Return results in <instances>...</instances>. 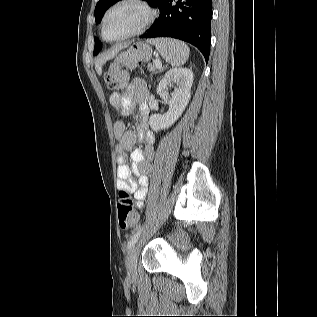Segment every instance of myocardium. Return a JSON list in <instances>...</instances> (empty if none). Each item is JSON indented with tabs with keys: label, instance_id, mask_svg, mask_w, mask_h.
Masks as SVG:
<instances>
[{
	"label": "myocardium",
	"instance_id": "myocardium-1",
	"mask_svg": "<svg viewBox=\"0 0 317 317\" xmlns=\"http://www.w3.org/2000/svg\"><path fill=\"white\" fill-rule=\"evenodd\" d=\"M125 4H132V5H136L140 7L145 13V18L143 22L134 30L118 38L108 39L105 36V30H104L106 20L112 11H114L119 6L125 5ZM155 16H156V11L146 0H117L106 10V12L103 15L102 22H101V36L107 42H119L128 38L140 35L149 28V26L152 24L153 20L155 19Z\"/></svg>",
	"mask_w": 317,
	"mask_h": 317
}]
</instances>
